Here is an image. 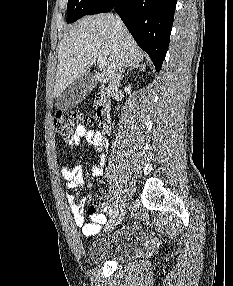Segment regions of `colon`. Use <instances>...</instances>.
Instances as JSON below:
<instances>
[{
    "label": "colon",
    "instance_id": "5ec220e1",
    "mask_svg": "<svg viewBox=\"0 0 233 286\" xmlns=\"http://www.w3.org/2000/svg\"><path fill=\"white\" fill-rule=\"evenodd\" d=\"M93 119L78 110L58 111L54 116V127L63 139H71L78 125H91Z\"/></svg>",
    "mask_w": 233,
    "mask_h": 286
}]
</instances>
